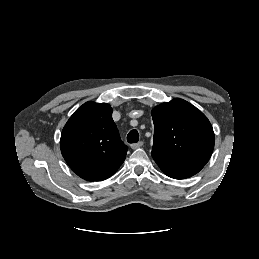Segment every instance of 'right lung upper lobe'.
Listing matches in <instances>:
<instances>
[{
  "instance_id": "cb5924a9",
  "label": "right lung upper lobe",
  "mask_w": 259,
  "mask_h": 259,
  "mask_svg": "<svg viewBox=\"0 0 259 259\" xmlns=\"http://www.w3.org/2000/svg\"><path fill=\"white\" fill-rule=\"evenodd\" d=\"M61 153L69 167L87 181L112 176L124 162L127 146L122 142L107 103L88 101L64 126Z\"/></svg>"
}]
</instances>
